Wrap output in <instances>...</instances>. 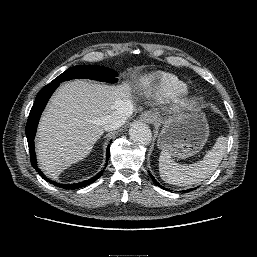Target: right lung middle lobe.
Here are the masks:
<instances>
[{
    "label": "right lung middle lobe",
    "instance_id": "1",
    "mask_svg": "<svg viewBox=\"0 0 257 257\" xmlns=\"http://www.w3.org/2000/svg\"><path fill=\"white\" fill-rule=\"evenodd\" d=\"M117 73L106 67L101 66H91V65H79L74 66L57 78H55L52 83H61L66 80H71L75 78H87L102 82L116 83L118 81Z\"/></svg>",
    "mask_w": 257,
    "mask_h": 257
}]
</instances>
